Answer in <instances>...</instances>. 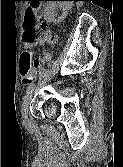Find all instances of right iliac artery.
Returning <instances> with one entry per match:
<instances>
[{"label":"right iliac artery","instance_id":"1","mask_svg":"<svg viewBox=\"0 0 123 167\" xmlns=\"http://www.w3.org/2000/svg\"><path fill=\"white\" fill-rule=\"evenodd\" d=\"M34 86H35V84H30L29 86H28V88H27V94H29L30 92H32L33 91V89H34Z\"/></svg>","mask_w":123,"mask_h":167}]
</instances>
